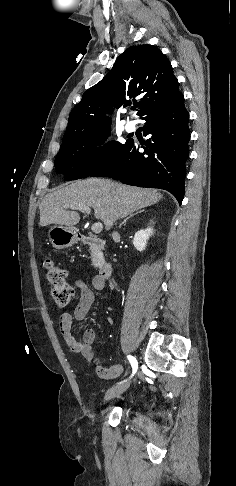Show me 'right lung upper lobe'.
<instances>
[{
  "mask_svg": "<svg viewBox=\"0 0 236 486\" xmlns=\"http://www.w3.org/2000/svg\"><path fill=\"white\" fill-rule=\"evenodd\" d=\"M178 80L165 55L152 45L126 49L113 68L96 85L89 88L70 113L62 144L110 127L106 112L112 106L131 104L140 96V116L151 105L177 97Z\"/></svg>",
  "mask_w": 236,
  "mask_h": 486,
  "instance_id": "cb5924a9",
  "label": "right lung upper lobe"
}]
</instances>
